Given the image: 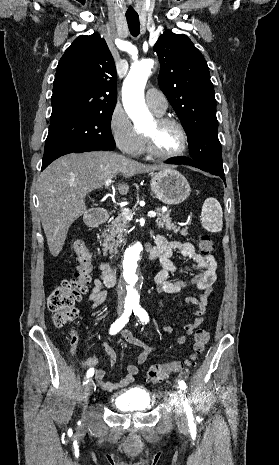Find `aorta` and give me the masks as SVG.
<instances>
[{
    "instance_id": "aorta-1",
    "label": "aorta",
    "mask_w": 279,
    "mask_h": 465,
    "mask_svg": "<svg viewBox=\"0 0 279 465\" xmlns=\"http://www.w3.org/2000/svg\"><path fill=\"white\" fill-rule=\"evenodd\" d=\"M153 60H143L134 64L123 82L122 100L126 113L135 128H142L151 117L144 100V89L153 68ZM142 252L141 243L131 245L124 254L122 282L127 290V299L137 302L140 277L138 263Z\"/></svg>"
}]
</instances>
